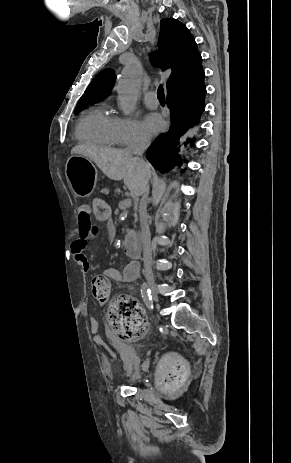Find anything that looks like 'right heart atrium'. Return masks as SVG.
<instances>
[{
	"mask_svg": "<svg viewBox=\"0 0 291 463\" xmlns=\"http://www.w3.org/2000/svg\"><path fill=\"white\" fill-rule=\"evenodd\" d=\"M117 132L120 144L126 147L142 144L148 140L141 124L133 117L118 118Z\"/></svg>",
	"mask_w": 291,
	"mask_h": 463,
	"instance_id": "d8ad5b80",
	"label": "right heart atrium"
}]
</instances>
